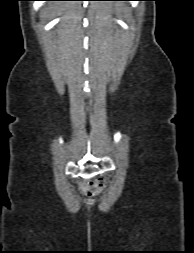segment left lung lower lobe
<instances>
[{"label":"left lung lower lobe","instance_id":"obj_1","mask_svg":"<svg viewBox=\"0 0 194 253\" xmlns=\"http://www.w3.org/2000/svg\"><path fill=\"white\" fill-rule=\"evenodd\" d=\"M122 1H130V0H122Z\"/></svg>","mask_w":194,"mask_h":253}]
</instances>
